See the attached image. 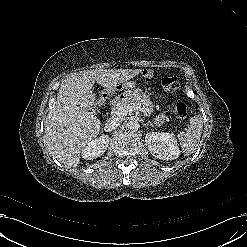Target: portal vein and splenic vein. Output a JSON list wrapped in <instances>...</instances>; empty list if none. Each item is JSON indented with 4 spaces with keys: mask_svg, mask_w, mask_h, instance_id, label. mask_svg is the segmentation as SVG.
Listing matches in <instances>:
<instances>
[{
    "mask_svg": "<svg viewBox=\"0 0 247 247\" xmlns=\"http://www.w3.org/2000/svg\"><path fill=\"white\" fill-rule=\"evenodd\" d=\"M135 110H139L138 107H134L132 105H124L114 108L112 111L114 114L118 116H127V114L132 113Z\"/></svg>",
    "mask_w": 247,
    "mask_h": 247,
    "instance_id": "portal-vein-and-splenic-vein-1",
    "label": "portal vein and splenic vein"
}]
</instances>
